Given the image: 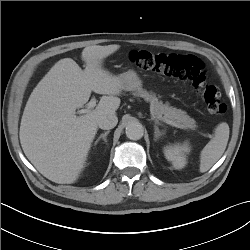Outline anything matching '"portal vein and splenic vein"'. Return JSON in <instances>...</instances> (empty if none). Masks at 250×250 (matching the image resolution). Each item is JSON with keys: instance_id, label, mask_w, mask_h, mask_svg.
<instances>
[{"instance_id": "18ae733b", "label": "portal vein and splenic vein", "mask_w": 250, "mask_h": 250, "mask_svg": "<svg viewBox=\"0 0 250 250\" xmlns=\"http://www.w3.org/2000/svg\"><path fill=\"white\" fill-rule=\"evenodd\" d=\"M96 106V99L95 98H92L86 105V108L85 109H81L79 110L77 113L78 114H85V113H88L92 108H94ZM164 122H166L167 124L171 125V126H174V127H177V128H183V126L181 125H178L177 123L175 122H172L170 120H164ZM208 138H212L213 136L211 134H208L207 135Z\"/></svg>"}]
</instances>
